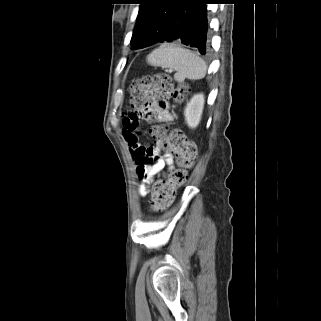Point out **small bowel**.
Returning <instances> with one entry per match:
<instances>
[{
	"mask_svg": "<svg viewBox=\"0 0 321 321\" xmlns=\"http://www.w3.org/2000/svg\"><path fill=\"white\" fill-rule=\"evenodd\" d=\"M174 119L168 103L159 101L148 108L128 112L122 122V135L128 144L130 154L136 165V174L142 180L138 187L140 196L148 193V186L152 184L156 176L161 175L165 168L171 169L174 166V157L171 153L161 154L162 142L155 136V126L150 133L156 139L154 146H144L140 143L138 130L142 120L169 123Z\"/></svg>",
	"mask_w": 321,
	"mask_h": 321,
	"instance_id": "small-bowel-1",
	"label": "small bowel"
}]
</instances>
